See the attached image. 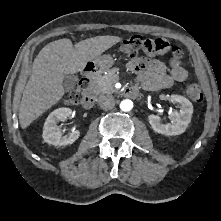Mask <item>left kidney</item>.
<instances>
[{
  "label": "left kidney",
  "instance_id": "obj_1",
  "mask_svg": "<svg viewBox=\"0 0 221 221\" xmlns=\"http://www.w3.org/2000/svg\"><path fill=\"white\" fill-rule=\"evenodd\" d=\"M170 100L180 105L179 112H170L169 118L171 123H163L158 116L153 114L148 116V120L152 129L157 133L167 136L179 135L185 131L191 121L193 105L187 98L181 95L172 94L170 95Z\"/></svg>",
  "mask_w": 221,
  "mask_h": 221
}]
</instances>
